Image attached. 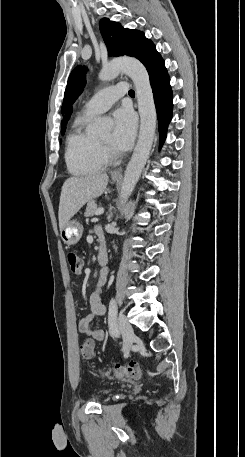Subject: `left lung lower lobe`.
Returning a JSON list of instances; mask_svg holds the SVG:
<instances>
[{
    "instance_id": "left-lung-lower-lobe-1",
    "label": "left lung lower lobe",
    "mask_w": 245,
    "mask_h": 457,
    "mask_svg": "<svg viewBox=\"0 0 245 457\" xmlns=\"http://www.w3.org/2000/svg\"><path fill=\"white\" fill-rule=\"evenodd\" d=\"M141 62L146 67L150 78L158 116L161 147L166 138L168 124L172 118L173 94L170 86V77L165 68L164 60L156 50L150 52Z\"/></svg>"
}]
</instances>
